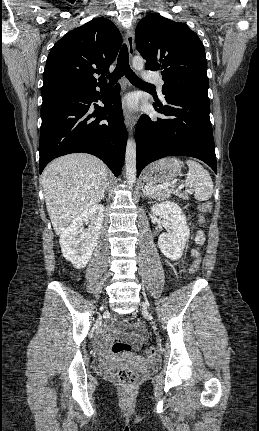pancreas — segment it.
I'll return each mask as SVG.
<instances>
[{
	"label": "pancreas",
	"instance_id": "cf45deb5",
	"mask_svg": "<svg viewBox=\"0 0 259 431\" xmlns=\"http://www.w3.org/2000/svg\"><path fill=\"white\" fill-rule=\"evenodd\" d=\"M158 186L159 185H149L150 188H155V187H158ZM175 187L176 186L174 184H170L169 188L167 187L166 189H159V190L151 193V196L154 199L163 200V199L169 198L172 193H177V195L180 198L188 199L187 193L178 192L177 190H175Z\"/></svg>",
	"mask_w": 259,
	"mask_h": 431
}]
</instances>
